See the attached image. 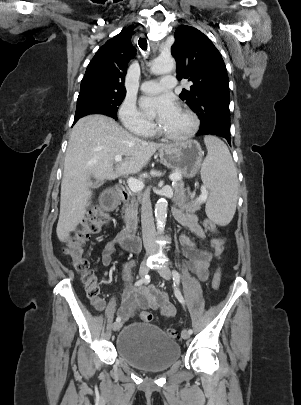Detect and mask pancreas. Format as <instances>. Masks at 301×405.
<instances>
[{
	"label": "pancreas",
	"instance_id": "pancreas-1",
	"mask_svg": "<svg viewBox=\"0 0 301 405\" xmlns=\"http://www.w3.org/2000/svg\"><path fill=\"white\" fill-rule=\"evenodd\" d=\"M175 173H180L182 176L181 171H175ZM174 189V197L172 201L180 206L182 209H185L189 212H195L197 210H200V204L201 202L197 200H191L188 199V197L185 194V189H184V184L181 181H176V183L173 186ZM141 196L140 194H137L131 201L130 205H128L127 211L130 212L134 217L137 215V207H138V202L140 200Z\"/></svg>",
	"mask_w": 301,
	"mask_h": 405
}]
</instances>
